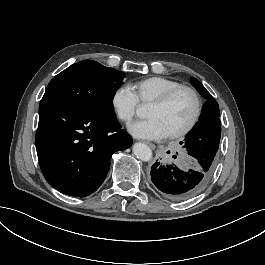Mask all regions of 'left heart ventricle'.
Returning a JSON list of instances; mask_svg holds the SVG:
<instances>
[{
    "instance_id": "left-heart-ventricle-1",
    "label": "left heart ventricle",
    "mask_w": 265,
    "mask_h": 265,
    "mask_svg": "<svg viewBox=\"0 0 265 265\" xmlns=\"http://www.w3.org/2000/svg\"><path fill=\"white\" fill-rule=\"evenodd\" d=\"M193 112L192 97L187 93H181L163 108L148 106L145 117L156 119L167 135L183 129L190 122Z\"/></svg>"
}]
</instances>
